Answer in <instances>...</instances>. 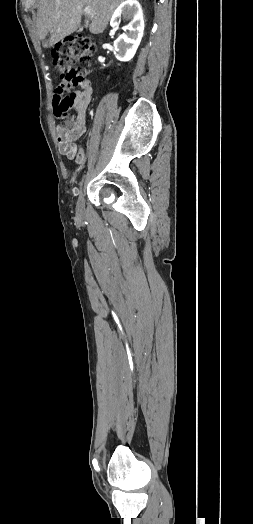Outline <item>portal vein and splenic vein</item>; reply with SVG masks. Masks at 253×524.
Here are the masks:
<instances>
[{"label": "portal vein and splenic vein", "instance_id": "portal-vein-and-splenic-vein-1", "mask_svg": "<svg viewBox=\"0 0 253 524\" xmlns=\"http://www.w3.org/2000/svg\"><path fill=\"white\" fill-rule=\"evenodd\" d=\"M84 13L86 15H93V11H92L91 7H89V6L84 8Z\"/></svg>", "mask_w": 253, "mask_h": 524}]
</instances>
